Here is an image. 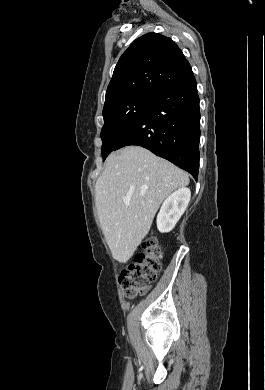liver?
Returning <instances> with one entry per match:
<instances>
[{
  "label": "liver",
  "instance_id": "6515ba94",
  "mask_svg": "<svg viewBox=\"0 0 265 390\" xmlns=\"http://www.w3.org/2000/svg\"><path fill=\"white\" fill-rule=\"evenodd\" d=\"M188 184L186 172L143 147L127 146L110 154L96 181L95 197L113 258L126 263L148 234L162 201Z\"/></svg>",
  "mask_w": 265,
  "mask_h": 390
}]
</instances>
